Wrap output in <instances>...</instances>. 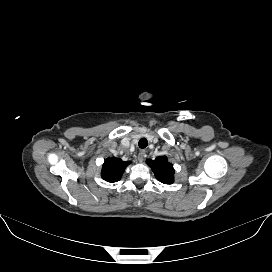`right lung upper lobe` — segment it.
<instances>
[{"label": "right lung upper lobe", "mask_w": 272, "mask_h": 272, "mask_svg": "<svg viewBox=\"0 0 272 272\" xmlns=\"http://www.w3.org/2000/svg\"><path fill=\"white\" fill-rule=\"evenodd\" d=\"M128 164L129 162H124L120 158H108L102 166L101 176L107 182H117Z\"/></svg>", "instance_id": "right-lung-upper-lobe-1"}]
</instances>
